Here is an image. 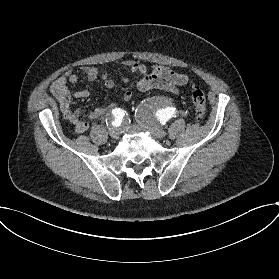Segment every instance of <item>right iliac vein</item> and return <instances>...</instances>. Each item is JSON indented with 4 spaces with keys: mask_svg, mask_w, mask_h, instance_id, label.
Returning a JSON list of instances; mask_svg holds the SVG:
<instances>
[{
    "mask_svg": "<svg viewBox=\"0 0 279 279\" xmlns=\"http://www.w3.org/2000/svg\"><path fill=\"white\" fill-rule=\"evenodd\" d=\"M109 134L113 139L119 138V131L116 128L111 129Z\"/></svg>",
    "mask_w": 279,
    "mask_h": 279,
    "instance_id": "1",
    "label": "right iliac vein"
}]
</instances>
